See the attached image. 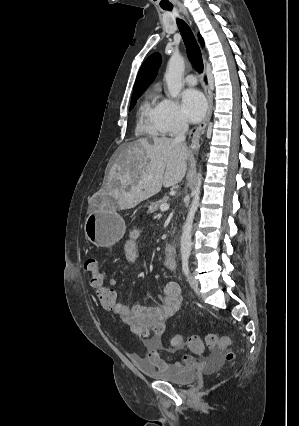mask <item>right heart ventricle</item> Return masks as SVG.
<instances>
[{
	"mask_svg": "<svg viewBox=\"0 0 299 426\" xmlns=\"http://www.w3.org/2000/svg\"><path fill=\"white\" fill-rule=\"evenodd\" d=\"M159 103H156L153 96H148L140 105L137 131L149 136L161 135L162 129L158 119Z\"/></svg>",
	"mask_w": 299,
	"mask_h": 426,
	"instance_id": "right-heart-ventricle-1",
	"label": "right heart ventricle"
}]
</instances>
